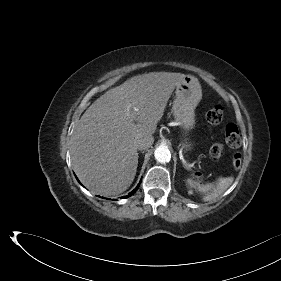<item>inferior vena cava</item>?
<instances>
[{
  "label": "inferior vena cava",
  "instance_id": "obj_1",
  "mask_svg": "<svg viewBox=\"0 0 281 281\" xmlns=\"http://www.w3.org/2000/svg\"><path fill=\"white\" fill-rule=\"evenodd\" d=\"M154 142V138L152 136L140 138L137 140V148L139 150H145L149 148Z\"/></svg>",
  "mask_w": 281,
  "mask_h": 281
}]
</instances>
